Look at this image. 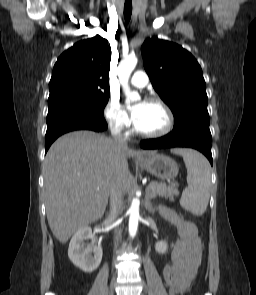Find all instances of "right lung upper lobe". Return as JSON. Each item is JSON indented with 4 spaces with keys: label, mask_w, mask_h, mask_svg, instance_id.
Returning <instances> with one entry per match:
<instances>
[{
    "label": "right lung upper lobe",
    "mask_w": 256,
    "mask_h": 295,
    "mask_svg": "<svg viewBox=\"0 0 256 295\" xmlns=\"http://www.w3.org/2000/svg\"><path fill=\"white\" fill-rule=\"evenodd\" d=\"M111 48L97 35L66 50L54 65L48 101L68 95H109Z\"/></svg>",
    "instance_id": "right-lung-upper-lobe-1"
}]
</instances>
